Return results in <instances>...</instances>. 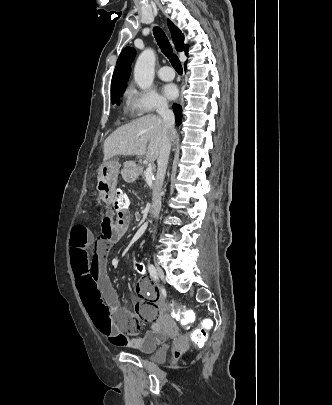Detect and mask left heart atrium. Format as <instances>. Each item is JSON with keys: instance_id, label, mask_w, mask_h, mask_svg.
<instances>
[{"instance_id": "39dd6f15", "label": "left heart atrium", "mask_w": 332, "mask_h": 405, "mask_svg": "<svg viewBox=\"0 0 332 405\" xmlns=\"http://www.w3.org/2000/svg\"><path fill=\"white\" fill-rule=\"evenodd\" d=\"M162 90L164 95L169 99H174L178 94V90L174 84H166Z\"/></svg>"}]
</instances>
